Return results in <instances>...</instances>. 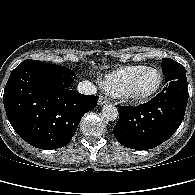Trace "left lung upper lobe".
<instances>
[{"mask_svg":"<svg viewBox=\"0 0 195 195\" xmlns=\"http://www.w3.org/2000/svg\"><path fill=\"white\" fill-rule=\"evenodd\" d=\"M162 67L166 82L187 79L184 66L171 58H163Z\"/></svg>","mask_w":195,"mask_h":195,"instance_id":"left-lung-upper-lobe-1","label":"left lung upper lobe"}]
</instances>
